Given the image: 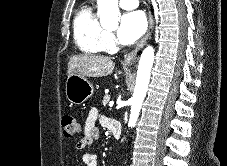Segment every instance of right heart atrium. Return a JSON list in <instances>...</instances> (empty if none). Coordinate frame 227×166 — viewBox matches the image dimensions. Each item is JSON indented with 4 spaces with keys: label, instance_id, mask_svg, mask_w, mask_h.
<instances>
[{
    "label": "right heart atrium",
    "instance_id": "d8ad5b80",
    "mask_svg": "<svg viewBox=\"0 0 227 166\" xmlns=\"http://www.w3.org/2000/svg\"><path fill=\"white\" fill-rule=\"evenodd\" d=\"M116 39L112 33H107L106 36V49L111 50L116 47Z\"/></svg>",
    "mask_w": 227,
    "mask_h": 166
}]
</instances>
